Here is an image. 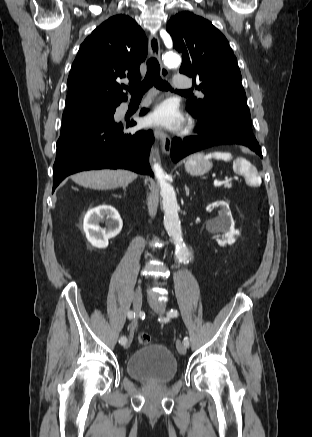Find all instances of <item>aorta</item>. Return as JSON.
<instances>
[{"instance_id":"obj_1","label":"aorta","mask_w":312,"mask_h":437,"mask_svg":"<svg viewBox=\"0 0 312 437\" xmlns=\"http://www.w3.org/2000/svg\"><path fill=\"white\" fill-rule=\"evenodd\" d=\"M180 63L181 58L175 53H167L164 56V64L168 67H177ZM153 170L160 186L164 210V227L176 244V258L179 261H184L190 253L182 239L181 223L178 215L179 206L174 188L167 182V176L158 163L154 164Z\"/></svg>"}]
</instances>
